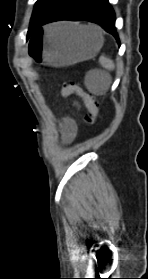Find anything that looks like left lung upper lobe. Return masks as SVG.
Listing matches in <instances>:
<instances>
[{
  "label": "left lung upper lobe",
  "instance_id": "obj_1",
  "mask_svg": "<svg viewBox=\"0 0 148 279\" xmlns=\"http://www.w3.org/2000/svg\"><path fill=\"white\" fill-rule=\"evenodd\" d=\"M65 0H38L35 4L28 30V37L37 29L39 23L45 20Z\"/></svg>",
  "mask_w": 148,
  "mask_h": 279
}]
</instances>
